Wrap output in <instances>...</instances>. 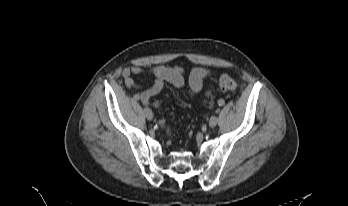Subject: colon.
I'll use <instances>...</instances> for the list:
<instances>
[{"instance_id": "colon-1", "label": "colon", "mask_w": 348, "mask_h": 206, "mask_svg": "<svg viewBox=\"0 0 348 206\" xmlns=\"http://www.w3.org/2000/svg\"><path fill=\"white\" fill-rule=\"evenodd\" d=\"M219 86L223 91H235L237 88L236 81L230 75H223L220 78Z\"/></svg>"}]
</instances>
